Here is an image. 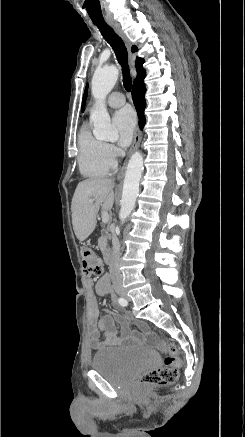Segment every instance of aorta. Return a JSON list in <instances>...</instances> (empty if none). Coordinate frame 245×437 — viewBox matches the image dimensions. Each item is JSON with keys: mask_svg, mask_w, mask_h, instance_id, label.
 <instances>
[{"mask_svg": "<svg viewBox=\"0 0 245 437\" xmlns=\"http://www.w3.org/2000/svg\"><path fill=\"white\" fill-rule=\"evenodd\" d=\"M118 69L110 66L97 69L92 78V95L97 101V106L90 116L94 125V136L99 140L115 141L118 139V131L112 127L110 116L105 107V98L113 89L118 79ZM143 170V156L140 152H135L127 166L119 217L121 222H125L133 211L139 193V183Z\"/></svg>", "mask_w": 245, "mask_h": 437, "instance_id": "762f6f07", "label": "aorta"}]
</instances>
